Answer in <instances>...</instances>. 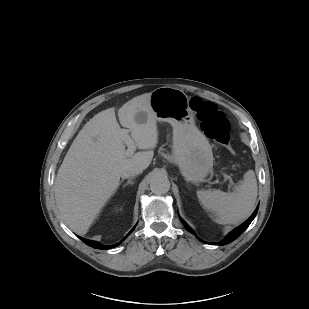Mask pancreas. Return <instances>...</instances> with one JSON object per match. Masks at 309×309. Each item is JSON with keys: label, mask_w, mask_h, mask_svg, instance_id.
Here are the masks:
<instances>
[{"label": "pancreas", "mask_w": 309, "mask_h": 309, "mask_svg": "<svg viewBox=\"0 0 309 309\" xmlns=\"http://www.w3.org/2000/svg\"><path fill=\"white\" fill-rule=\"evenodd\" d=\"M163 156H164L165 158L169 159V156H167L166 154H163Z\"/></svg>", "instance_id": "cf45deb5"}]
</instances>
